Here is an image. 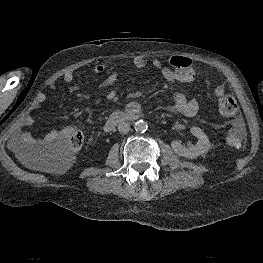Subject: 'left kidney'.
<instances>
[{
	"label": "left kidney",
	"instance_id": "obj_1",
	"mask_svg": "<svg viewBox=\"0 0 263 263\" xmlns=\"http://www.w3.org/2000/svg\"><path fill=\"white\" fill-rule=\"evenodd\" d=\"M190 133L198 139L196 145H190L188 148H186L181 144V142L175 141L173 142V148L179 156L193 159L208 152L211 144L208 136L203 132V130L200 127H191Z\"/></svg>",
	"mask_w": 263,
	"mask_h": 263
}]
</instances>
